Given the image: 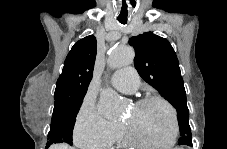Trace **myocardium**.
Here are the masks:
<instances>
[{
  "instance_id": "obj_1",
  "label": "myocardium",
  "mask_w": 227,
  "mask_h": 149,
  "mask_svg": "<svg viewBox=\"0 0 227 149\" xmlns=\"http://www.w3.org/2000/svg\"><path fill=\"white\" fill-rule=\"evenodd\" d=\"M153 102H158V103L163 104L164 106H166L168 108V110L171 113L172 120H173V132H172L170 139L167 142H155V141L148 140V139L144 138L143 136H141L140 134H138L135 131L133 125L128 121H124L125 130H126L128 136L131 138V140L138 145L150 146V147H170L175 144L178 134H179V128H180L177 111L174 108V106L169 101H167L166 99H164L162 97L148 96V97H144V98H141L138 101H136L134 107L139 108L143 105H146L148 103H153Z\"/></svg>"
}]
</instances>
